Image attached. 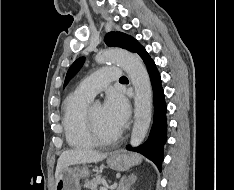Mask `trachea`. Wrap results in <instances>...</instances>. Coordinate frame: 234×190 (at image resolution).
<instances>
[{"label": "trachea", "mask_w": 234, "mask_h": 190, "mask_svg": "<svg viewBox=\"0 0 234 190\" xmlns=\"http://www.w3.org/2000/svg\"><path fill=\"white\" fill-rule=\"evenodd\" d=\"M127 78L125 76H122L120 80H126Z\"/></svg>", "instance_id": "3493384b"}]
</instances>
